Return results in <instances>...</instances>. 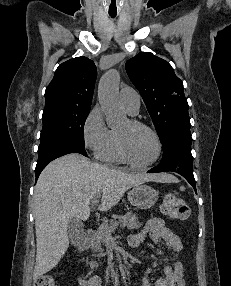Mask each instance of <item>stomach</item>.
I'll return each mask as SVG.
<instances>
[{"label":"stomach","mask_w":231,"mask_h":286,"mask_svg":"<svg viewBox=\"0 0 231 286\" xmlns=\"http://www.w3.org/2000/svg\"><path fill=\"white\" fill-rule=\"evenodd\" d=\"M158 199V192L149 185L140 184L134 186L128 192V200L138 209H149Z\"/></svg>","instance_id":"obj_1"}]
</instances>
